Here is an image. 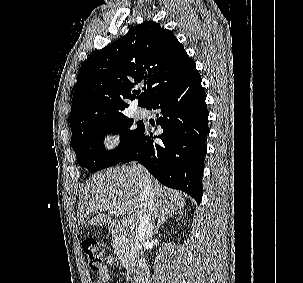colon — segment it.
<instances>
[{
    "instance_id": "1",
    "label": "colon",
    "mask_w": 303,
    "mask_h": 283,
    "mask_svg": "<svg viewBox=\"0 0 303 283\" xmlns=\"http://www.w3.org/2000/svg\"><path fill=\"white\" fill-rule=\"evenodd\" d=\"M83 252L89 268L92 271H100L111 255V247L102 241L88 240L83 244Z\"/></svg>"
}]
</instances>
